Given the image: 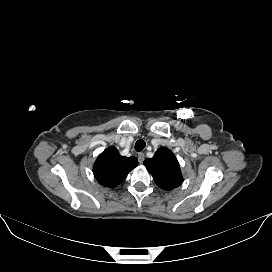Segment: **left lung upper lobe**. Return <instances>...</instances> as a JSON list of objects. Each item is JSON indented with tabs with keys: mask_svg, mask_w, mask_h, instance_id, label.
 Segmentation results:
<instances>
[{
	"mask_svg": "<svg viewBox=\"0 0 272 272\" xmlns=\"http://www.w3.org/2000/svg\"><path fill=\"white\" fill-rule=\"evenodd\" d=\"M143 164L156 184L164 190H172L183 182L179 163L175 155L166 147L159 148L153 158L146 159Z\"/></svg>",
	"mask_w": 272,
	"mask_h": 272,
	"instance_id": "1",
	"label": "left lung upper lobe"
}]
</instances>
